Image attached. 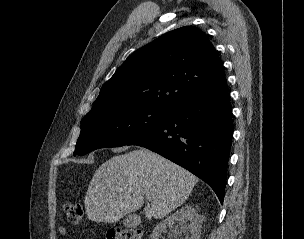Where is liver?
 <instances>
[{
  "label": "liver",
  "mask_w": 304,
  "mask_h": 239,
  "mask_svg": "<svg viewBox=\"0 0 304 239\" xmlns=\"http://www.w3.org/2000/svg\"><path fill=\"white\" fill-rule=\"evenodd\" d=\"M197 181L154 152L133 150L112 157L96 170L84 200L86 213L91 221L115 223L143 207L146 200V218H163L185 202Z\"/></svg>",
  "instance_id": "6515ba94"
}]
</instances>
